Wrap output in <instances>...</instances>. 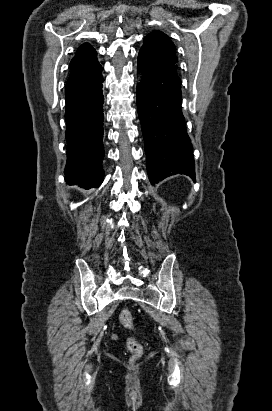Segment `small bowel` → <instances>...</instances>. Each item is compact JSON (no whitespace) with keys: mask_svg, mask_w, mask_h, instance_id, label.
Returning a JSON list of instances; mask_svg holds the SVG:
<instances>
[{"mask_svg":"<svg viewBox=\"0 0 272 411\" xmlns=\"http://www.w3.org/2000/svg\"><path fill=\"white\" fill-rule=\"evenodd\" d=\"M113 338H114V339H116V336H115V335H113Z\"/></svg>","mask_w":272,"mask_h":411,"instance_id":"1","label":"small bowel"}]
</instances>
